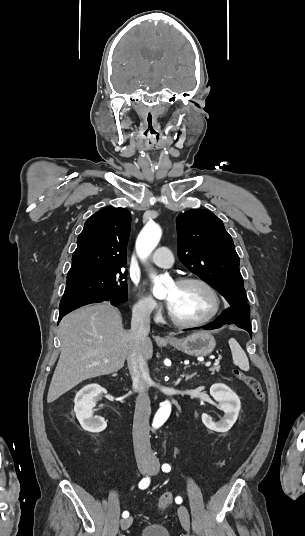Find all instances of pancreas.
I'll return each mask as SVG.
<instances>
[{
	"mask_svg": "<svg viewBox=\"0 0 305 536\" xmlns=\"http://www.w3.org/2000/svg\"><path fill=\"white\" fill-rule=\"evenodd\" d=\"M209 372H220V366H215V368H210Z\"/></svg>",
	"mask_w": 305,
	"mask_h": 536,
	"instance_id": "cf45deb5",
	"label": "pancreas"
}]
</instances>
